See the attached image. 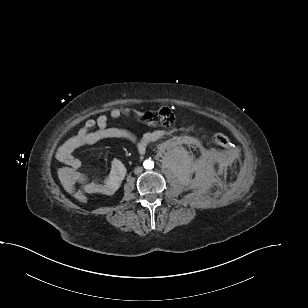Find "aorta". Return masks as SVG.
I'll return each mask as SVG.
<instances>
[{
    "label": "aorta",
    "instance_id": "obj_1",
    "mask_svg": "<svg viewBox=\"0 0 308 308\" xmlns=\"http://www.w3.org/2000/svg\"><path fill=\"white\" fill-rule=\"evenodd\" d=\"M143 166L145 169H152L154 167V162L152 160H145Z\"/></svg>",
    "mask_w": 308,
    "mask_h": 308
}]
</instances>
